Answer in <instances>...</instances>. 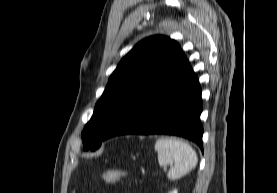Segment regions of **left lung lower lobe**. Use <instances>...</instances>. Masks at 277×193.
<instances>
[{
  "label": "left lung lower lobe",
  "instance_id": "0a47b994",
  "mask_svg": "<svg viewBox=\"0 0 277 193\" xmlns=\"http://www.w3.org/2000/svg\"><path fill=\"white\" fill-rule=\"evenodd\" d=\"M202 110L198 77L187 62L135 102L105 139L126 134L176 135L196 142L203 150V126L200 121Z\"/></svg>",
  "mask_w": 277,
  "mask_h": 193
}]
</instances>
